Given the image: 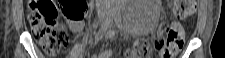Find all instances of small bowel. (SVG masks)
I'll list each match as a JSON object with an SVG mask.
<instances>
[{
	"instance_id": "obj_1",
	"label": "small bowel",
	"mask_w": 225,
	"mask_h": 58,
	"mask_svg": "<svg viewBox=\"0 0 225 58\" xmlns=\"http://www.w3.org/2000/svg\"><path fill=\"white\" fill-rule=\"evenodd\" d=\"M67 24L72 32H80L84 28V21H70L67 20ZM133 32H138L137 29H134ZM113 54L112 49L105 50L98 55V58H111Z\"/></svg>"
}]
</instances>
